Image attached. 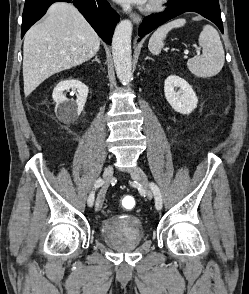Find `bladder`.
<instances>
[{
    "mask_svg": "<svg viewBox=\"0 0 249 294\" xmlns=\"http://www.w3.org/2000/svg\"><path fill=\"white\" fill-rule=\"evenodd\" d=\"M102 235L104 239L127 235H133L137 239H142L144 237L143 221L134 215L112 216L104 223Z\"/></svg>",
    "mask_w": 249,
    "mask_h": 294,
    "instance_id": "bladder-1",
    "label": "bladder"
}]
</instances>
